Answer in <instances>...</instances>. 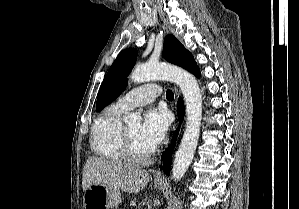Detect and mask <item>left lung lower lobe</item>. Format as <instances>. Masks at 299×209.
<instances>
[{"label": "left lung lower lobe", "mask_w": 299, "mask_h": 209, "mask_svg": "<svg viewBox=\"0 0 299 209\" xmlns=\"http://www.w3.org/2000/svg\"><path fill=\"white\" fill-rule=\"evenodd\" d=\"M191 73H193L196 77H200V70L198 67H196ZM177 112H178L179 121L182 122V120L184 118V105H183V100L181 98L178 99ZM177 135H178V131L174 133L172 145L163 154L162 169L167 175H169V172H170L172 149L174 148Z\"/></svg>", "instance_id": "1"}]
</instances>
